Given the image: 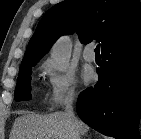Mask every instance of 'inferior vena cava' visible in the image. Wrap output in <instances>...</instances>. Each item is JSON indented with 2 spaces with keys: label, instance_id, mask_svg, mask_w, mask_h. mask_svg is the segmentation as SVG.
<instances>
[{
  "label": "inferior vena cava",
  "instance_id": "602c4592",
  "mask_svg": "<svg viewBox=\"0 0 141 139\" xmlns=\"http://www.w3.org/2000/svg\"><path fill=\"white\" fill-rule=\"evenodd\" d=\"M73 95L70 94L65 100V115L70 120L73 129V139H80V133L78 130V123L73 111Z\"/></svg>",
  "mask_w": 141,
  "mask_h": 139
}]
</instances>
